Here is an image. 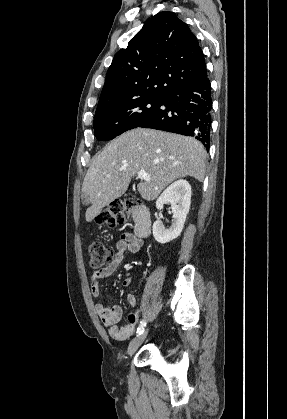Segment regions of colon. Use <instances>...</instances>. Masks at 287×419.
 Masks as SVG:
<instances>
[{"mask_svg":"<svg viewBox=\"0 0 287 419\" xmlns=\"http://www.w3.org/2000/svg\"><path fill=\"white\" fill-rule=\"evenodd\" d=\"M137 205L133 201H114L107 209L97 214L96 223L114 228L120 223L129 222L132 219L133 209ZM88 254L91 268H100L111 261L110 250L99 242L90 244Z\"/></svg>","mask_w":287,"mask_h":419,"instance_id":"obj_1","label":"colon"}]
</instances>
